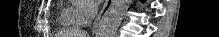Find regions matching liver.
I'll use <instances>...</instances> for the list:
<instances>
[{"mask_svg": "<svg viewBox=\"0 0 219 37\" xmlns=\"http://www.w3.org/2000/svg\"><path fill=\"white\" fill-rule=\"evenodd\" d=\"M75 35H86L85 33H77V34H75ZM79 37H86V36H79Z\"/></svg>", "mask_w": 219, "mask_h": 37, "instance_id": "obj_1", "label": "liver"}]
</instances>
